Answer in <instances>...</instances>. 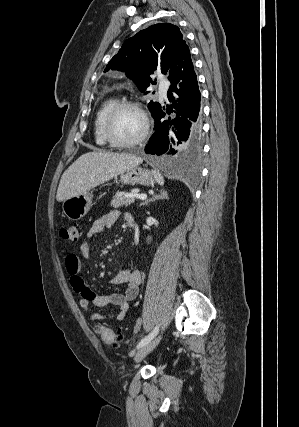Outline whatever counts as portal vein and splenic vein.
Wrapping results in <instances>:
<instances>
[{
  "mask_svg": "<svg viewBox=\"0 0 299 427\" xmlns=\"http://www.w3.org/2000/svg\"><path fill=\"white\" fill-rule=\"evenodd\" d=\"M126 197L138 198V199H141V200L147 199V195L146 194H126Z\"/></svg>",
  "mask_w": 299,
  "mask_h": 427,
  "instance_id": "portal-vein-and-splenic-vein-1",
  "label": "portal vein and splenic vein"
}]
</instances>
